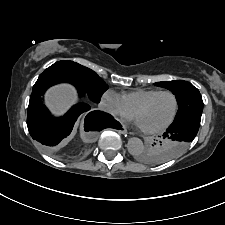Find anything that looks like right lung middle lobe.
<instances>
[{
  "mask_svg": "<svg viewBox=\"0 0 225 225\" xmlns=\"http://www.w3.org/2000/svg\"><path fill=\"white\" fill-rule=\"evenodd\" d=\"M43 73H56L70 78L95 102H99L102 94L108 89V85L94 71L73 61H58Z\"/></svg>",
  "mask_w": 225,
  "mask_h": 225,
  "instance_id": "right-lung-middle-lobe-1",
  "label": "right lung middle lobe"
}]
</instances>
